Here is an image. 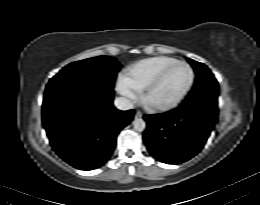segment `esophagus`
<instances>
[{
    "mask_svg": "<svg viewBox=\"0 0 260 205\" xmlns=\"http://www.w3.org/2000/svg\"><path fill=\"white\" fill-rule=\"evenodd\" d=\"M143 116L142 112L141 111H136L135 113V118H141Z\"/></svg>",
    "mask_w": 260,
    "mask_h": 205,
    "instance_id": "1",
    "label": "esophagus"
}]
</instances>
